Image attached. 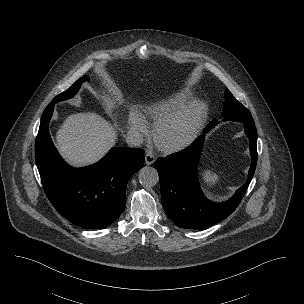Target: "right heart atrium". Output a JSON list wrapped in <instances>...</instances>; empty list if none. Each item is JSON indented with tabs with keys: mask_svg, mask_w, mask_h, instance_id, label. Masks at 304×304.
<instances>
[{
	"mask_svg": "<svg viewBox=\"0 0 304 304\" xmlns=\"http://www.w3.org/2000/svg\"><path fill=\"white\" fill-rule=\"evenodd\" d=\"M130 129L136 135L146 134L148 131L145 120L137 115H134L130 120Z\"/></svg>",
	"mask_w": 304,
	"mask_h": 304,
	"instance_id": "1",
	"label": "right heart atrium"
}]
</instances>
